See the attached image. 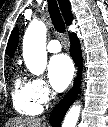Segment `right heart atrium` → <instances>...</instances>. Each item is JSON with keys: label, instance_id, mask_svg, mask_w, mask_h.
Wrapping results in <instances>:
<instances>
[{"label": "right heart atrium", "instance_id": "right-heart-atrium-1", "mask_svg": "<svg viewBox=\"0 0 108 127\" xmlns=\"http://www.w3.org/2000/svg\"><path fill=\"white\" fill-rule=\"evenodd\" d=\"M31 88L36 100L40 104H46L53 97V92L42 78H34L30 81Z\"/></svg>", "mask_w": 108, "mask_h": 127}]
</instances>
